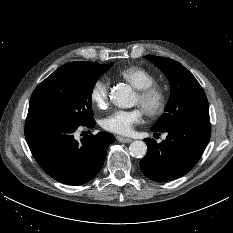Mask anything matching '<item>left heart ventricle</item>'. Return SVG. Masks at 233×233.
Returning a JSON list of instances; mask_svg holds the SVG:
<instances>
[{
  "mask_svg": "<svg viewBox=\"0 0 233 233\" xmlns=\"http://www.w3.org/2000/svg\"><path fill=\"white\" fill-rule=\"evenodd\" d=\"M135 101H136L137 104H140V99H139L138 95L136 96V100Z\"/></svg>",
  "mask_w": 233,
  "mask_h": 233,
  "instance_id": "1",
  "label": "left heart ventricle"
}]
</instances>
